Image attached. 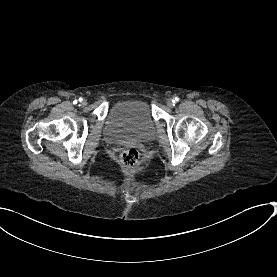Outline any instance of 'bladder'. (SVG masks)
<instances>
[{
	"instance_id": "obj_1",
	"label": "bladder",
	"mask_w": 277,
	"mask_h": 277,
	"mask_svg": "<svg viewBox=\"0 0 277 277\" xmlns=\"http://www.w3.org/2000/svg\"><path fill=\"white\" fill-rule=\"evenodd\" d=\"M104 123L120 143L148 142L156 132V121L144 99H117L106 111Z\"/></svg>"
}]
</instances>
